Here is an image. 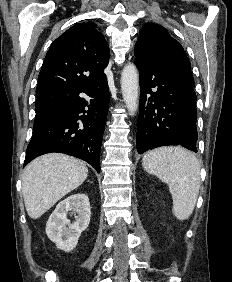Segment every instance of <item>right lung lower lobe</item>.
Instances as JSON below:
<instances>
[{
    "label": "right lung lower lobe",
    "mask_w": 232,
    "mask_h": 282,
    "mask_svg": "<svg viewBox=\"0 0 232 282\" xmlns=\"http://www.w3.org/2000/svg\"><path fill=\"white\" fill-rule=\"evenodd\" d=\"M81 92L91 97L89 102L79 97ZM108 109L106 77L69 94L55 110L34 121L23 166L40 155L59 152L88 162L100 173V149Z\"/></svg>",
    "instance_id": "1"
}]
</instances>
